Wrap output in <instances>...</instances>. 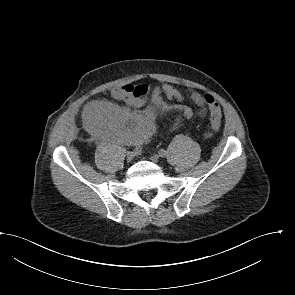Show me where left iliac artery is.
<instances>
[{"label": "left iliac artery", "instance_id": "obj_1", "mask_svg": "<svg viewBox=\"0 0 295 295\" xmlns=\"http://www.w3.org/2000/svg\"><path fill=\"white\" fill-rule=\"evenodd\" d=\"M166 150H164V149H160L159 151H158V154H159V156L160 157H165L166 156Z\"/></svg>", "mask_w": 295, "mask_h": 295}]
</instances>
